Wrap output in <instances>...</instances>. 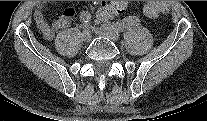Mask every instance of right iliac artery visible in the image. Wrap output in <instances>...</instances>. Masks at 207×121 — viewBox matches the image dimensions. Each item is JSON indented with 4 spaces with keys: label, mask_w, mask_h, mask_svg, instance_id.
<instances>
[{
    "label": "right iliac artery",
    "mask_w": 207,
    "mask_h": 121,
    "mask_svg": "<svg viewBox=\"0 0 207 121\" xmlns=\"http://www.w3.org/2000/svg\"><path fill=\"white\" fill-rule=\"evenodd\" d=\"M90 20H91V15L88 12H83L80 15V21L83 23L85 29H88Z\"/></svg>",
    "instance_id": "obj_1"
}]
</instances>
